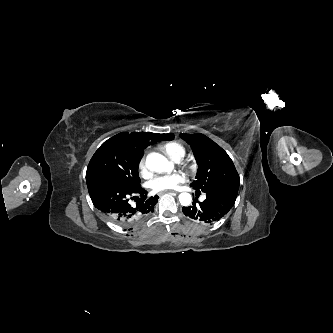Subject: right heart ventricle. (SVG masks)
<instances>
[{
  "label": "right heart ventricle",
  "instance_id": "e07e8e85",
  "mask_svg": "<svg viewBox=\"0 0 333 333\" xmlns=\"http://www.w3.org/2000/svg\"><path fill=\"white\" fill-rule=\"evenodd\" d=\"M165 154L172 160H181L185 156V149L177 142H169L163 146Z\"/></svg>",
  "mask_w": 333,
  "mask_h": 333
}]
</instances>
